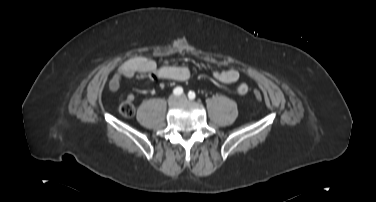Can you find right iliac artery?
Wrapping results in <instances>:
<instances>
[{"label":"right iliac artery","mask_w":376,"mask_h":202,"mask_svg":"<svg viewBox=\"0 0 376 202\" xmlns=\"http://www.w3.org/2000/svg\"><path fill=\"white\" fill-rule=\"evenodd\" d=\"M183 93V88L182 87H176L174 90H173V94L176 95V96H179Z\"/></svg>","instance_id":"82829eb1"}]
</instances>
